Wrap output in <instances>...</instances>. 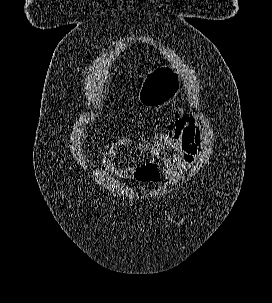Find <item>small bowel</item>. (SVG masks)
<instances>
[{"label":"small bowel","instance_id":"small-bowel-1","mask_svg":"<svg viewBox=\"0 0 272 303\" xmlns=\"http://www.w3.org/2000/svg\"><path fill=\"white\" fill-rule=\"evenodd\" d=\"M204 148V132L192 113L184 110L176 112L168 129L154 137L152 141L144 138H121L107 150L102 167L107 173H115L122 178H129L138 167L115 166L117 157L129 151L136 154L148 153L149 163L160 166L163 175L176 179L188 165L195 161Z\"/></svg>","mask_w":272,"mask_h":303}]
</instances>
